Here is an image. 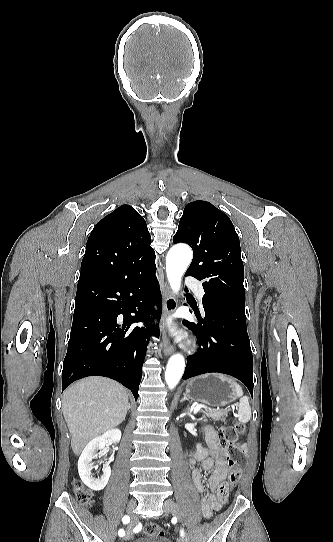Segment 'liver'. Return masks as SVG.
<instances>
[{
  "mask_svg": "<svg viewBox=\"0 0 333 542\" xmlns=\"http://www.w3.org/2000/svg\"><path fill=\"white\" fill-rule=\"evenodd\" d=\"M128 394L108 378L90 376L63 394L62 412L72 436L71 448L79 456L86 444L125 420Z\"/></svg>",
  "mask_w": 333,
  "mask_h": 542,
  "instance_id": "obj_1",
  "label": "liver"
}]
</instances>
